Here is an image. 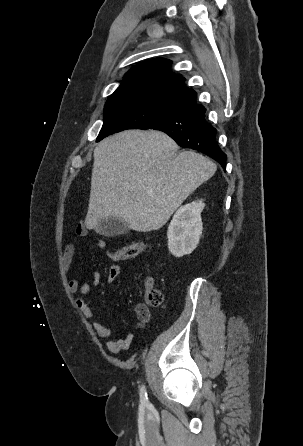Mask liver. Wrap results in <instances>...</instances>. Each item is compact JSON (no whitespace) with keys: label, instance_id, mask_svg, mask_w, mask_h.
Returning <instances> with one entry per match:
<instances>
[{"label":"liver","instance_id":"liver-1","mask_svg":"<svg viewBox=\"0 0 303 446\" xmlns=\"http://www.w3.org/2000/svg\"><path fill=\"white\" fill-rule=\"evenodd\" d=\"M177 150L169 136L153 130H126L101 141L94 149L86 227L98 231L112 217L139 232L163 227L217 169L195 151Z\"/></svg>","mask_w":303,"mask_h":446}]
</instances>
